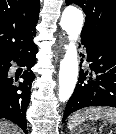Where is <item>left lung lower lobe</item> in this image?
<instances>
[{"mask_svg":"<svg viewBox=\"0 0 116 134\" xmlns=\"http://www.w3.org/2000/svg\"><path fill=\"white\" fill-rule=\"evenodd\" d=\"M91 71L80 70L78 84L67 102L63 120L86 107L116 108V43L82 37Z\"/></svg>","mask_w":116,"mask_h":134,"instance_id":"1","label":"left lung lower lobe"}]
</instances>
